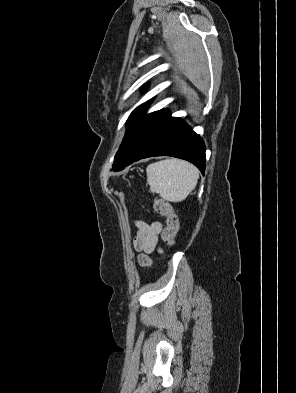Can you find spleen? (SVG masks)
<instances>
[{"mask_svg": "<svg viewBox=\"0 0 296 393\" xmlns=\"http://www.w3.org/2000/svg\"><path fill=\"white\" fill-rule=\"evenodd\" d=\"M147 182L152 193L170 202H181L194 190L198 169L179 159H165L148 165Z\"/></svg>", "mask_w": 296, "mask_h": 393, "instance_id": "obj_1", "label": "spleen"}]
</instances>
